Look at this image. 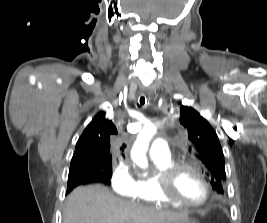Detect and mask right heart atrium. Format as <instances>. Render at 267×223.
I'll list each match as a JSON object with an SVG mask.
<instances>
[{"instance_id": "d8ad5b80", "label": "right heart atrium", "mask_w": 267, "mask_h": 223, "mask_svg": "<svg viewBox=\"0 0 267 223\" xmlns=\"http://www.w3.org/2000/svg\"><path fill=\"white\" fill-rule=\"evenodd\" d=\"M110 184L117 194L128 195L132 192L135 184L131 168L127 162H119L113 169Z\"/></svg>"}]
</instances>
